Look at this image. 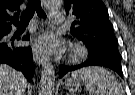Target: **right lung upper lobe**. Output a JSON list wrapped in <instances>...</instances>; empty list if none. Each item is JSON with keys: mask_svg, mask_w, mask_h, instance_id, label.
Returning <instances> with one entry per match:
<instances>
[{"mask_svg": "<svg viewBox=\"0 0 135 95\" xmlns=\"http://www.w3.org/2000/svg\"><path fill=\"white\" fill-rule=\"evenodd\" d=\"M24 0H0V30L3 28H10L11 24H18V14L20 12V5ZM17 11L12 16V12Z\"/></svg>", "mask_w": 135, "mask_h": 95, "instance_id": "obj_1", "label": "right lung upper lobe"}]
</instances>
